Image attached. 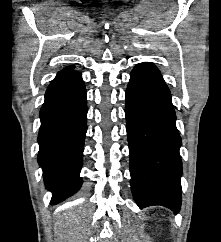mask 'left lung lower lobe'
<instances>
[{
  "label": "left lung lower lobe",
  "mask_w": 221,
  "mask_h": 242,
  "mask_svg": "<svg viewBox=\"0 0 221 242\" xmlns=\"http://www.w3.org/2000/svg\"><path fill=\"white\" fill-rule=\"evenodd\" d=\"M131 190L137 205L181 206V137L171 94L163 77L136 65L126 90Z\"/></svg>",
  "instance_id": "obj_1"
}]
</instances>
